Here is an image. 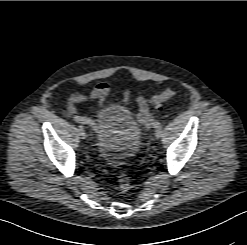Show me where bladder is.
Masks as SVG:
<instances>
[{
	"label": "bladder",
	"instance_id": "31cf9c89",
	"mask_svg": "<svg viewBox=\"0 0 247 245\" xmlns=\"http://www.w3.org/2000/svg\"><path fill=\"white\" fill-rule=\"evenodd\" d=\"M96 147L110 164H120L135 157L143 146L140 127L124 105L107 104L96 113Z\"/></svg>",
	"mask_w": 247,
	"mask_h": 245
}]
</instances>
